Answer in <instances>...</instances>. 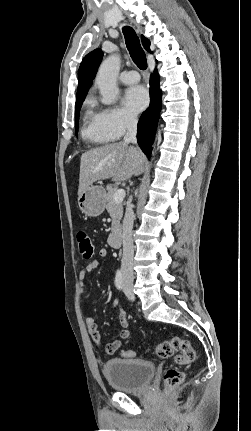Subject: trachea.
Instances as JSON below:
<instances>
[{
    "instance_id": "trachea-1",
    "label": "trachea",
    "mask_w": 251,
    "mask_h": 431,
    "mask_svg": "<svg viewBox=\"0 0 251 431\" xmlns=\"http://www.w3.org/2000/svg\"><path fill=\"white\" fill-rule=\"evenodd\" d=\"M123 34L125 37L127 49L133 62L139 69L145 70L147 68V60L145 52L141 47L139 37L133 28L129 26L123 27Z\"/></svg>"
}]
</instances>
